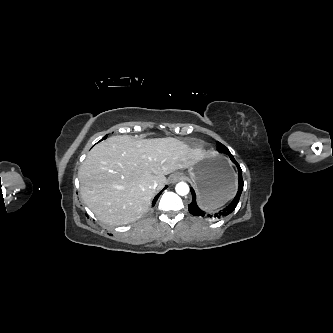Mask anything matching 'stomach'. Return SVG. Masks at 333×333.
I'll return each instance as SVG.
<instances>
[{"mask_svg": "<svg viewBox=\"0 0 333 333\" xmlns=\"http://www.w3.org/2000/svg\"><path fill=\"white\" fill-rule=\"evenodd\" d=\"M188 172L199 204L204 208L219 206L234 194L235 173L223 156L209 153L191 166Z\"/></svg>", "mask_w": 333, "mask_h": 333, "instance_id": "obj_1", "label": "stomach"}]
</instances>
